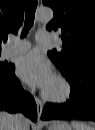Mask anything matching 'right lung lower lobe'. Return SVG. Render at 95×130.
Returning <instances> with one entry per match:
<instances>
[{
    "mask_svg": "<svg viewBox=\"0 0 95 130\" xmlns=\"http://www.w3.org/2000/svg\"><path fill=\"white\" fill-rule=\"evenodd\" d=\"M0 110L23 112L31 120L37 119V107L33 97L21 88L15 77V67L0 75Z\"/></svg>",
    "mask_w": 95,
    "mask_h": 130,
    "instance_id": "right-lung-lower-lobe-1",
    "label": "right lung lower lobe"
}]
</instances>
